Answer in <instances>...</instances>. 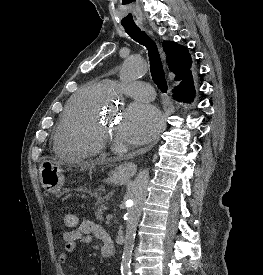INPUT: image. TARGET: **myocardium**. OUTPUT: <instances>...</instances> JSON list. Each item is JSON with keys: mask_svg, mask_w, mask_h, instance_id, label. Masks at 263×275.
<instances>
[{"mask_svg": "<svg viewBox=\"0 0 263 275\" xmlns=\"http://www.w3.org/2000/svg\"><path fill=\"white\" fill-rule=\"evenodd\" d=\"M87 134L89 138L99 144L101 148L106 147L115 140L114 133L106 127L104 119L100 113L97 114L90 123Z\"/></svg>", "mask_w": 263, "mask_h": 275, "instance_id": "f54148a6", "label": "myocardium"}]
</instances>
